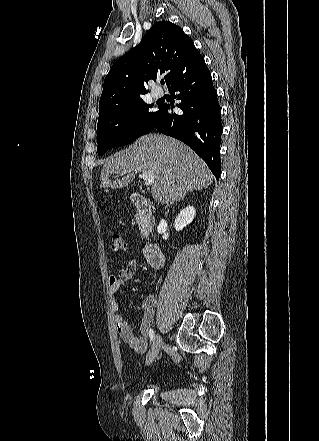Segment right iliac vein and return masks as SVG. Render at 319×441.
<instances>
[{
  "mask_svg": "<svg viewBox=\"0 0 319 441\" xmlns=\"http://www.w3.org/2000/svg\"><path fill=\"white\" fill-rule=\"evenodd\" d=\"M162 346V338L160 335L156 336V339L151 347V349L149 350L147 356H146V364L150 365L158 356V353L160 351V348Z\"/></svg>",
  "mask_w": 319,
  "mask_h": 441,
  "instance_id": "obj_1",
  "label": "right iliac vein"
}]
</instances>
